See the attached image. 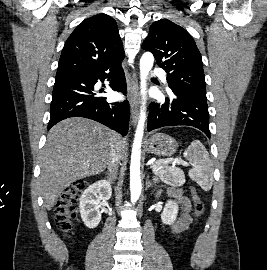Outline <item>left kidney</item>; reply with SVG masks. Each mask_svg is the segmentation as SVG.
Here are the masks:
<instances>
[{
    "label": "left kidney",
    "mask_w": 267,
    "mask_h": 270,
    "mask_svg": "<svg viewBox=\"0 0 267 270\" xmlns=\"http://www.w3.org/2000/svg\"><path fill=\"white\" fill-rule=\"evenodd\" d=\"M178 214V205L174 201H167L163 212L161 214V220L164 224L170 225L174 223Z\"/></svg>",
    "instance_id": "5707ae66"
}]
</instances>
